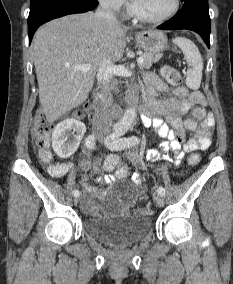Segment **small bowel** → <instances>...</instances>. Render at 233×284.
I'll use <instances>...</instances> for the list:
<instances>
[{"label":"small bowel","instance_id":"small-bowel-1","mask_svg":"<svg viewBox=\"0 0 233 284\" xmlns=\"http://www.w3.org/2000/svg\"><path fill=\"white\" fill-rule=\"evenodd\" d=\"M148 90V99L142 110V122L146 127L152 128L164 141L160 144L161 152L150 149L146 152V158L153 162L164 160L179 166L185 154L197 150H206L211 145V128L214 119L208 115L201 126L195 130L194 135L186 139L185 126L182 116L187 114L193 106H204L206 99L199 91H189L185 87H178L174 91V96L159 99L157 95L168 90L166 83L158 76L148 74L145 77ZM132 160L140 162L137 153H132ZM72 164L68 161L52 163L47 166V172L54 178H62L70 173ZM83 186L87 193L83 208L90 213H94L97 205L91 196L93 188L86 174L83 175ZM111 180V178H109ZM132 180L139 183V173H134Z\"/></svg>","mask_w":233,"mask_h":284}]
</instances>
